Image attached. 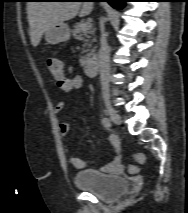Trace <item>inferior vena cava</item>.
<instances>
[{
  "mask_svg": "<svg viewBox=\"0 0 188 213\" xmlns=\"http://www.w3.org/2000/svg\"><path fill=\"white\" fill-rule=\"evenodd\" d=\"M100 28H101V39H100L101 45L99 50L100 80L102 90L104 92H107L109 90L110 57L103 21L100 22Z\"/></svg>",
  "mask_w": 188,
  "mask_h": 213,
  "instance_id": "1",
  "label": "inferior vena cava"
}]
</instances>
